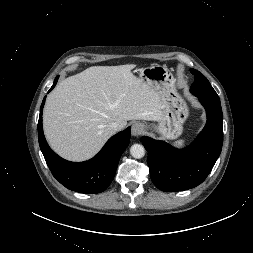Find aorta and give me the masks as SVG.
I'll return each instance as SVG.
<instances>
[{"label": "aorta", "instance_id": "1", "mask_svg": "<svg viewBox=\"0 0 253 253\" xmlns=\"http://www.w3.org/2000/svg\"><path fill=\"white\" fill-rule=\"evenodd\" d=\"M130 154L136 159H140L145 155V148L140 144H133L130 148Z\"/></svg>", "mask_w": 253, "mask_h": 253}]
</instances>
